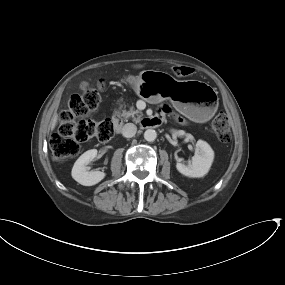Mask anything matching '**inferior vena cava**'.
<instances>
[{
    "instance_id": "1",
    "label": "inferior vena cava",
    "mask_w": 285,
    "mask_h": 285,
    "mask_svg": "<svg viewBox=\"0 0 285 285\" xmlns=\"http://www.w3.org/2000/svg\"><path fill=\"white\" fill-rule=\"evenodd\" d=\"M136 131H137L136 125H134L133 123H127L122 128V135L126 138H131L135 136Z\"/></svg>"
}]
</instances>
